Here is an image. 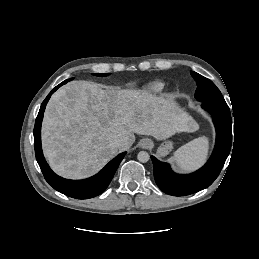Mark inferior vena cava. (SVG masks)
I'll return each instance as SVG.
<instances>
[{"label": "inferior vena cava", "instance_id": "obj_1", "mask_svg": "<svg viewBox=\"0 0 259 259\" xmlns=\"http://www.w3.org/2000/svg\"><path fill=\"white\" fill-rule=\"evenodd\" d=\"M112 143L113 145H115L117 148H122L126 145L125 141L123 138L121 137H115L113 140H112Z\"/></svg>", "mask_w": 259, "mask_h": 259}]
</instances>
